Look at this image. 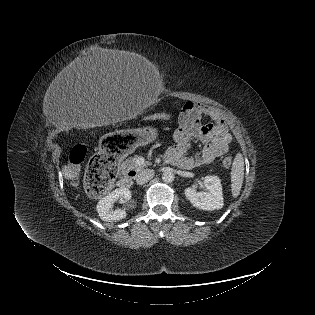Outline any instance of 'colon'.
<instances>
[{"mask_svg": "<svg viewBox=\"0 0 315 315\" xmlns=\"http://www.w3.org/2000/svg\"><path fill=\"white\" fill-rule=\"evenodd\" d=\"M169 115L166 113L157 114L152 120H165ZM87 148L83 145H76L70 153V164L77 168L85 159ZM224 167L229 168L232 165V158L225 157L222 161ZM118 166L115 158H110L104 153L95 155L89 162L85 174V186L89 194L101 196L113 184L117 177Z\"/></svg>", "mask_w": 315, "mask_h": 315, "instance_id": "obj_1", "label": "colon"}]
</instances>
